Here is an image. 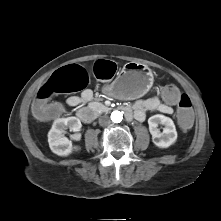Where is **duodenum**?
<instances>
[{
    "label": "duodenum",
    "mask_w": 221,
    "mask_h": 221,
    "mask_svg": "<svg viewBox=\"0 0 221 221\" xmlns=\"http://www.w3.org/2000/svg\"><path fill=\"white\" fill-rule=\"evenodd\" d=\"M119 109L125 113L127 119H132V110L129 107L121 106ZM77 117L83 123H91L94 119V114L90 108L84 107L77 111Z\"/></svg>",
    "instance_id": "1"
}]
</instances>
